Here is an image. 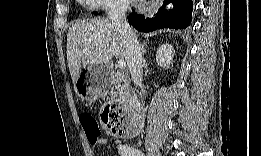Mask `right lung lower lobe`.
<instances>
[{
	"label": "right lung lower lobe",
	"mask_w": 261,
	"mask_h": 156,
	"mask_svg": "<svg viewBox=\"0 0 261 156\" xmlns=\"http://www.w3.org/2000/svg\"><path fill=\"white\" fill-rule=\"evenodd\" d=\"M172 2L174 8L170 11L165 10V6ZM164 6L160 8L154 18H147L143 15L130 14L129 23L137 30L151 32L160 28L182 29L186 28L191 22L192 0H164Z\"/></svg>",
	"instance_id": "obj_1"
}]
</instances>
